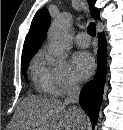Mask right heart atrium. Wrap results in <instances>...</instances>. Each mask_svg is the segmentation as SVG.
Instances as JSON below:
<instances>
[{
  "label": "right heart atrium",
  "instance_id": "d8ad5b80",
  "mask_svg": "<svg viewBox=\"0 0 123 130\" xmlns=\"http://www.w3.org/2000/svg\"><path fill=\"white\" fill-rule=\"evenodd\" d=\"M41 55L43 73L48 83L50 94L63 96L78 88V80L65 58L55 56L50 51H44Z\"/></svg>",
  "mask_w": 123,
  "mask_h": 130
}]
</instances>
